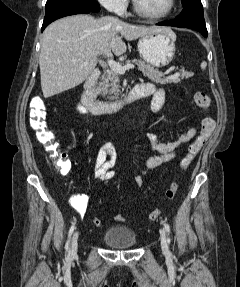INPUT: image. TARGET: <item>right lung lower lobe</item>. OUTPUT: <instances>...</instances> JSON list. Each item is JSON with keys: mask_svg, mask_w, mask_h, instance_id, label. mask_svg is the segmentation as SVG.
<instances>
[{"mask_svg": "<svg viewBox=\"0 0 240 287\" xmlns=\"http://www.w3.org/2000/svg\"><path fill=\"white\" fill-rule=\"evenodd\" d=\"M100 11L94 0H55L46 3V13L42 31L54 20L74 14H88Z\"/></svg>", "mask_w": 240, "mask_h": 287, "instance_id": "obj_1", "label": "right lung lower lobe"}]
</instances>
